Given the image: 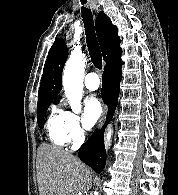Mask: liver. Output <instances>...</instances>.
<instances>
[{
    "instance_id": "obj_1",
    "label": "liver",
    "mask_w": 178,
    "mask_h": 195,
    "mask_svg": "<svg viewBox=\"0 0 178 195\" xmlns=\"http://www.w3.org/2000/svg\"><path fill=\"white\" fill-rule=\"evenodd\" d=\"M37 158L40 195H78L91 188L89 168L71 153L42 144Z\"/></svg>"
}]
</instances>
